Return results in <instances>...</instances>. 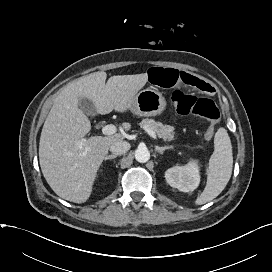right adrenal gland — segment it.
I'll list each match as a JSON object with an SVG mask.
<instances>
[{
	"label": "right adrenal gland",
	"mask_w": 272,
	"mask_h": 272,
	"mask_svg": "<svg viewBox=\"0 0 272 272\" xmlns=\"http://www.w3.org/2000/svg\"><path fill=\"white\" fill-rule=\"evenodd\" d=\"M117 158V155H108L105 157V160L115 159Z\"/></svg>",
	"instance_id": "2a0ac1e0"
}]
</instances>
